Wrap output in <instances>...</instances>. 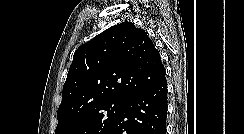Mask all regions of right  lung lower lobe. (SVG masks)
Wrapping results in <instances>:
<instances>
[{
    "label": "right lung lower lobe",
    "mask_w": 244,
    "mask_h": 134,
    "mask_svg": "<svg viewBox=\"0 0 244 134\" xmlns=\"http://www.w3.org/2000/svg\"><path fill=\"white\" fill-rule=\"evenodd\" d=\"M167 80L132 94L103 134H166Z\"/></svg>",
    "instance_id": "98d812e1"
}]
</instances>
